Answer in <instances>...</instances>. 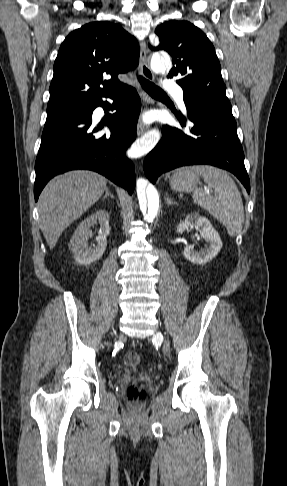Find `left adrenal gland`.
Segmentation results:
<instances>
[{
	"label": "left adrenal gland",
	"instance_id": "left-adrenal-gland-1",
	"mask_svg": "<svg viewBox=\"0 0 287 486\" xmlns=\"http://www.w3.org/2000/svg\"><path fill=\"white\" fill-rule=\"evenodd\" d=\"M165 202L167 205H178V203L173 199H171L170 197H165Z\"/></svg>",
	"mask_w": 287,
	"mask_h": 486
}]
</instances>
